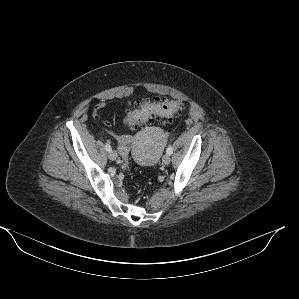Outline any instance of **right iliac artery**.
Returning a JSON list of instances; mask_svg holds the SVG:
<instances>
[{"label":"right iliac artery","instance_id":"right-iliac-artery-1","mask_svg":"<svg viewBox=\"0 0 299 299\" xmlns=\"http://www.w3.org/2000/svg\"><path fill=\"white\" fill-rule=\"evenodd\" d=\"M106 151L110 152L112 150L111 146L109 144H105Z\"/></svg>","mask_w":299,"mask_h":299}]
</instances>
